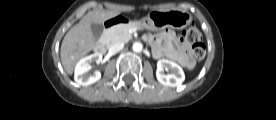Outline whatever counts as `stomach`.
<instances>
[{
	"label": "stomach",
	"instance_id": "obj_1",
	"mask_svg": "<svg viewBox=\"0 0 276 120\" xmlns=\"http://www.w3.org/2000/svg\"><path fill=\"white\" fill-rule=\"evenodd\" d=\"M192 21V16L185 10L173 9L168 11L155 10L141 19L136 24L140 28L151 31H161L165 28L181 30L186 28Z\"/></svg>",
	"mask_w": 276,
	"mask_h": 120
}]
</instances>
